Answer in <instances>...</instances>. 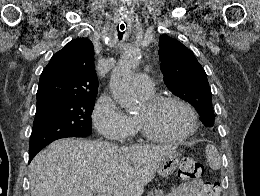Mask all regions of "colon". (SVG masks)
Instances as JSON below:
<instances>
[{
	"instance_id": "obj_1",
	"label": "colon",
	"mask_w": 260,
	"mask_h": 196,
	"mask_svg": "<svg viewBox=\"0 0 260 196\" xmlns=\"http://www.w3.org/2000/svg\"><path fill=\"white\" fill-rule=\"evenodd\" d=\"M179 178L183 182L201 183L204 178V167L192 159H183L179 162Z\"/></svg>"
}]
</instances>
